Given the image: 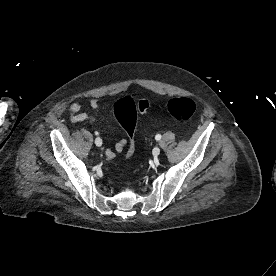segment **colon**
Masks as SVG:
<instances>
[{"label":"colon","instance_id":"obj_1","mask_svg":"<svg viewBox=\"0 0 276 276\" xmlns=\"http://www.w3.org/2000/svg\"><path fill=\"white\" fill-rule=\"evenodd\" d=\"M150 102L146 98L135 102L131 97H123L113 105V112L116 120L124 128L129 139V152L131 155L134 147V134L137 121V114H144L149 109ZM195 102L187 97H174L170 99L163 109L177 120L185 121L191 118L195 112Z\"/></svg>","mask_w":276,"mask_h":276}]
</instances>
